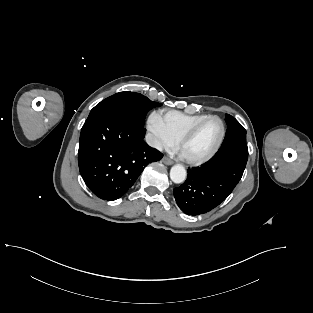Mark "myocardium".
Returning a JSON list of instances; mask_svg holds the SVG:
<instances>
[{
	"instance_id": "obj_1",
	"label": "myocardium",
	"mask_w": 313,
	"mask_h": 313,
	"mask_svg": "<svg viewBox=\"0 0 313 313\" xmlns=\"http://www.w3.org/2000/svg\"><path fill=\"white\" fill-rule=\"evenodd\" d=\"M210 119H216L221 126V132H220V136L219 139L216 143V145L214 146V148L205 156L200 157V158H187L184 157V159L186 160V162H188L189 164L192 165H200L203 163L208 162L209 160H211L219 151V149L221 148L224 138H225V134H226V126L225 123L223 121L222 118H220L217 115H207L205 118H203L202 120L198 121L197 123H195L194 125H192L190 128H188L177 140V149L179 151H181L182 146L184 145V143L198 130V128H200L206 121L210 120Z\"/></svg>"
}]
</instances>
